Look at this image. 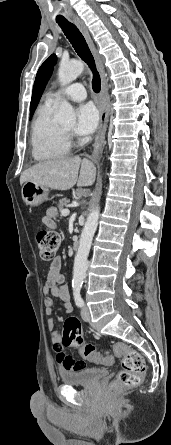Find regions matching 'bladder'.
<instances>
[{"instance_id":"obj_1","label":"bladder","mask_w":171,"mask_h":445,"mask_svg":"<svg viewBox=\"0 0 171 445\" xmlns=\"http://www.w3.org/2000/svg\"><path fill=\"white\" fill-rule=\"evenodd\" d=\"M108 375V369L89 367L75 371H62L61 380L67 385L89 386L102 380Z\"/></svg>"}]
</instances>
